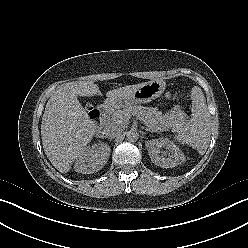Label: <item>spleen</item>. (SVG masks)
<instances>
[{
    "mask_svg": "<svg viewBox=\"0 0 248 248\" xmlns=\"http://www.w3.org/2000/svg\"><path fill=\"white\" fill-rule=\"evenodd\" d=\"M191 99V119L178 131V134L175 135V140L181 144L192 146L200 155H203L210 141L211 115L200 87L194 86L192 88Z\"/></svg>",
    "mask_w": 248,
    "mask_h": 248,
    "instance_id": "1",
    "label": "spleen"
}]
</instances>
